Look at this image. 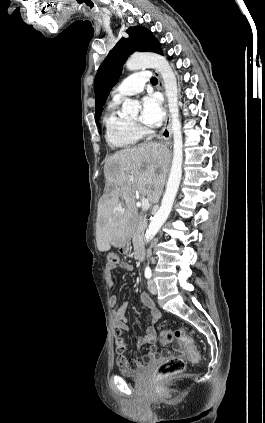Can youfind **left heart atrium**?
<instances>
[{"mask_svg": "<svg viewBox=\"0 0 265 423\" xmlns=\"http://www.w3.org/2000/svg\"><path fill=\"white\" fill-rule=\"evenodd\" d=\"M164 117L160 98L156 94H148L142 99L141 120L147 126L158 125Z\"/></svg>", "mask_w": 265, "mask_h": 423, "instance_id": "obj_1", "label": "left heart atrium"}]
</instances>
